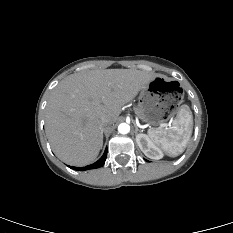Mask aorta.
Instances as JSON below:
<instances>
[{"label":"aorta","mask_w":233,"mask_h":233,"mask_svg":"<svg viewBox=\"0 0 233 233\" xmlns=\"http://www.w3.org/2000/svg\"><path fill=\"white\" fill-rule=\"evenodd\" d=\"M118 131L119 133L121 134H127L130 132V125L127 124V123H121L119 126H118Z\"/></svg>","instance_id":"1"}]
</instances>
